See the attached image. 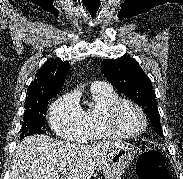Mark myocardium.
<instances>
[{"mask_svg":"<svg viewBox=\"0 0 183 179\" xmlns=\"http://www.w3.org/2000/svg\"><path fill=\"white\" fill-rule=\"evenodd\" d=\"M124 105H130L134 107L141 115L142 120H143V125L139 131L136 133L132 134H126L122 133L121 131L118 130L116 127V116L119 112V110L124 106ZM101 125L104 129V131L109 134L112 137L115 138H121V139H132L136 138L140 135H142L145 130L147 129L148 126V119L146 116L145 111L143 108L136 102L130 100V99H124V98H119L112 102L110 105H108L102 112L101 114Z\"/></svg>","mask_w":183,"mask_h":179,"instance_id":"myocardium-1","label":"myocardium"}]
</instances>
